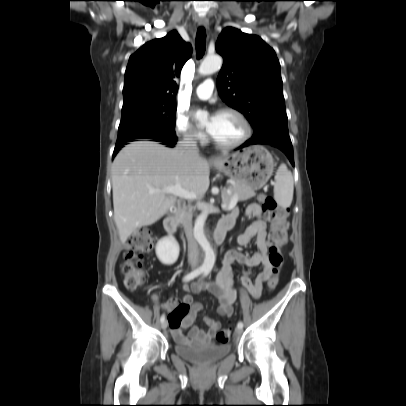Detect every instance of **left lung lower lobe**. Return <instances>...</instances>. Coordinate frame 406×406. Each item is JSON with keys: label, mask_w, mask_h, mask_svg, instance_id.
Wrapping results in <instances>:
<instances>
[{"label": "left lung lower lobe", "mask_w": 406, "mask_h": 406, "mask_svg": "<svg viewBox=\"0 0 406 406\" xmlns=\"http://www.w3.org/2000/svg\"><path fill=\"white\" fill-rule=\"evenodd\" d=\"M256 144L272 145L273 147L279 148L288 156L292 165H294L293 148H292V143H291L290 138L281 137V136H277V135H261V136H255V137L253 136L251 139L246 141L239 148H244L249 145H256Z\"/></svg>", "instance_id": "left-lung-lower-lobe-1"}]
</instances>
